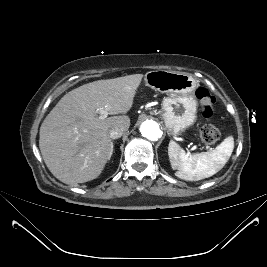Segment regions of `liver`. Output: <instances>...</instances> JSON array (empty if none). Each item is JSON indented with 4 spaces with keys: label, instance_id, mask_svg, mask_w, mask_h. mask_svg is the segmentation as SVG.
I'll list each match as a JSON object with an SVG mask.
<instances>
[{
    "label": "liver",
    "instance_id": "obj_1",
    "mask_svg": "<svg viewBox=\"0 0 267 267\" xmlns=\"http://www.w3.org/2000/svg\"><path fill=\"white\" fill-rule=\"evenodd\" d=\"M142 74L84 84L65 94L40 127L39 148L50 172L66 184L97 178L110 159L109 131L130 126L127 113L142 81ZM115 115L104 120L99 109Z\"/></svg>",
    "mask_w": 267,
    "mask_h": 267
}]
</instances>
